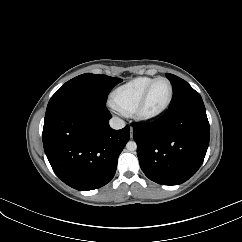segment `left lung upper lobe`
Listing matches in <instances>:
<instances>
[{
    "label": "left lung upper lobe",
    "mask_w": 242,
    "mask_h": 242,
    "mask_svg": "<svg viewBox=\"0 0 242 242\" xmlns=\"http://www.w3.org/2000/svg\"><path fill=\"white\" fill-rule=\"evenodd\" d=\"M166 76L173 87V97L169 107H173L190 100L202 99L200 94L183 79L170 73H167Z\"/></svg>",
    "instance_id": "left-lung-upper-lobe-1"
}]
</instances>
